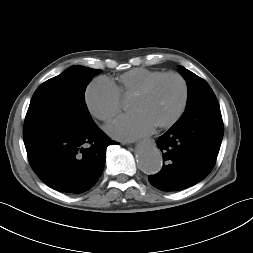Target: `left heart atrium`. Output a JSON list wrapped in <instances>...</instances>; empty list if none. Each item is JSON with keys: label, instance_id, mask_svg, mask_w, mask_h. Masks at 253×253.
<instances>
[{"label": "left heart atrium", "instance_id": "39dd6f15", "mask_svg": "<svg viewBox=\"0 0 253 253\" xmlns=\"http://www.w3.org/2000/svg\"><path fill=\"white\" fill-rule=\"evenodd\" d=\"M154 127L147 117L137 112L119 117L108 125L107 131L115 138L129 141L150 134Z\"/></svg>", "mask_w": 253, "mask_h": 253}]
</instances>
